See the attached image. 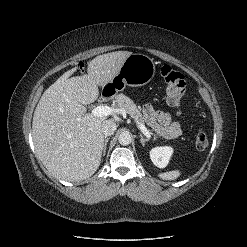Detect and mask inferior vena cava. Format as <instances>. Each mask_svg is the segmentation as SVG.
Returning <instances> with one entry per match:
<instances>
[{"label":"inferior vena cava","instance_id":"1","mask_svg":"<svg viewBox=\"0 0 247 247\" xmlns=\"http://www.w3.org/2000/svg\"><path fill=\"white\" fill-rule=\"evenodd\" d=\"M116 128H117V125L112 120H106L103 122L102 131L105 137L113 135L116 131Z\"/></svg>","mask_w":247,"mask_h":247}]
</instances>
